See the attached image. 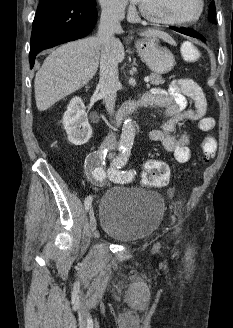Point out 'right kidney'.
<instances>
[{"label": "right kidney", "instance_id": "right-kidney-1", "mask_svg": "<svg viewBox=\"0 0 233 328\" xmlns=\"http://www.w3.org/2000/svg\"><path fill=\"white\" fill-rule=\"evenodd\" d=\"M63 127L68 135V140L76 145L85 144L91 137L92 128L88 122V116L81 98L71 99L66 112L63 115Z\"/></svg>", "mask_w": 233, "mask_h": 328}]
</instances>
